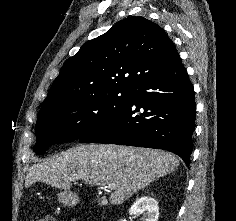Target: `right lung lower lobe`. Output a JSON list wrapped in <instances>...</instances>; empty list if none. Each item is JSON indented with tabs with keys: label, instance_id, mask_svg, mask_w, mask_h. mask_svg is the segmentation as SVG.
I'll use <instances>...</instances> for the list:
<instances>
[{
	"label": "right lung lower lobe",
	"instance_id": "obj_1",
	"mask_svg": "<svg viewBox=\"0 0 236 221\" xmlns=\"http://www.w3.org/2000/svg\"><path fill=\"white\" fill-rule=\"evenodd\" d=\"M128 102L80 143L120 144L171 151L190 163L195 130L194 89L178 56L131 90Z\"/></svg>",
	"mask_w": 236,
	"mask_h": 221
}]
</instances>
